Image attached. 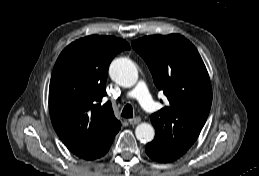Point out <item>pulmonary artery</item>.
Segmentation results:
<instances>
[{
	"label": "pulmonary artery",
	"instance_id": "1",
	"mask_svg": "<svg viewBox=\"0 0 259 176\" xmlns=\"http://www.w3.org/2000/svg\"><path fill=\"white\" fill-rule=\"evenodd\" d=\"M128 97L136 98L143 109L149 113H152L156 109V105L153 102L146 84L143 81H139L134 89L127 93Z\"/></svg>",
	"mask_w": 259,
	"mask_h": 176
}]
</instances>
